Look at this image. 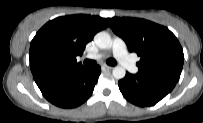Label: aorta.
<instances>
[{"label":"aorta","mask_w":203,"mask_h":123,"mask_svg":"<svg viewBox=\"0 0 203 123\" xmlns=\"http://www.w3.org/2000/svg\"><path fill=\"white\" fill-rule=\"evenodd\" d=\"M94 42L99 48L107 49L111 45V36L105 31L98 32L94 37ZM112 73L116 79H122L125 77L126 71L122 66H116Z\"/></svg>","instance_id":"762f6f07"}]
</instances>
